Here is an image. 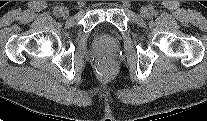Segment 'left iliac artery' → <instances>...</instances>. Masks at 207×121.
Segmentation results:
<instances>
[{
  "label": "left iliac artery",
  "mask_w": 207,
  "mask_h": 121,
  "mask_svg": "<svg viewBox=\"0 0 207 121\" xmlns=\"http://www.w3.org/2000/svg\"><path fill=\"white\" fill-rule=\"evenodd\" d=\"M150 12H151V14H152V15H154V14H155V12H154V10H153V9H151V10H150Z\"/></svg>",
  "instance_id": "1"
}]
</instances>
